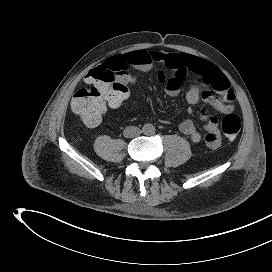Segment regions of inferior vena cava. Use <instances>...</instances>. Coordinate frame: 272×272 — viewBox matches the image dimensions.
Returning <instances> with one entry per match:
<instances>
[{
    "label": "inferior vena cava",
    "instance_id": "602c4592",
    "mask_svg": "<svg viewBox=\"0 0 272 272\" xmlns=\"http://www.w3.org/2000/svg\"><path fill=\"white\" fill-rule=\"evenodd\" d=\"M141 130L135 126H128L124 129V136L127 138H133L141 134Z\"/></svg>",
    "mask_w": 272,
    "mask_h": 272
}]
</instances>
